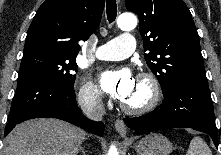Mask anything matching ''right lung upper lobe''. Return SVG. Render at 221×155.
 Here are the masks:
<instances>
[{"instance_id":"obj_1","label":"right lung upper lobe","mask_w":221,"mask_h":155,"mask_svg":"<svg viewBox=\"0 0 221 155\" xmlns=\"http://www.w3.org/2000/svg\"><path fill=\"white\" fill-rule=\"evenodd\" d=\"M105 0H46L28 29L24 56L50 53L75 58L78 42L98 28Z\"/></svg>"}]
</instances>
